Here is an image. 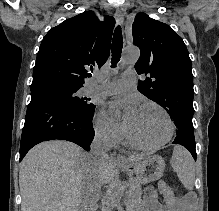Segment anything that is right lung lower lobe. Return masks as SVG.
I'll use <instances>...</instances> for the list:
<instances>
[{
	"label": "right lung lower lobe",
	"instance_id": "right-lung-lower-lobe-1",
	"mask_svg": "<svg viewBox=\"0 0 219 211\" xmlns=\"http://www.w3.org/2000/svg\"><path fill=\"white\" fill-rule=\"evenodd\" d=\"M93 115L94 111H76L54 93L31 92L21 136L20 161L34 145L54 139L74 142L89 151L94 138Z\"/></svg>",
	"mask_w": 219,
	"mask_h": 211
}]
</instances>
